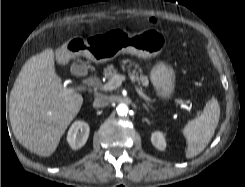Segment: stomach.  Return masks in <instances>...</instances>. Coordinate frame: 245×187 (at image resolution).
Segmentation results:
<instances>
[{
	"label": "stomach",
	"instance_id": "stomach-1",
	"mask_svg": "<svg viewBox=\"0 0 245 187\" xmlns=\"http://www.w3.org/2000/svg\"><path fill=\"white\" fill-rule=\"evenodd\" d=\"M165 43V35L155 29L129 34L123 29L113 28L87 39L71 38L57 49L56 59L58 63L64 64L76 56H84L92 62L104 63L124 53L150 58L160 54ZM150 78L162 99L172 97L175 74L170 66L164 62L157 63L150 72Z\"/></svg>",
	"mask_w": 245,
	"mask_h": 187
}]
</instances>
